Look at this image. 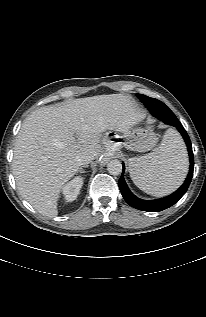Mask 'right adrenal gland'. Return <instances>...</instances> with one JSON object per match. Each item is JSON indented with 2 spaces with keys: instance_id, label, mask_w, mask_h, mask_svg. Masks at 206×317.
I'll return each instance as SVG.
<instances>
[{
  "instance_id": "right-adrenal-gland-1",
  "label": "right adrenal gland",
  "mask_w": 206,
  "mask_h": 317,
  "mask_svg": "<svg viewBox=\"0 0 206 317\" xmlns=\"http://www.w3.org/2000/svg\"><path fill=\"white\" fill-rule=\"evenodd\" d=\"M86 167H88V165H83V166H81V167L78 169V172H80V173H85V171H84L83 168H86Z\"/></svg>"
}]
</instances>
